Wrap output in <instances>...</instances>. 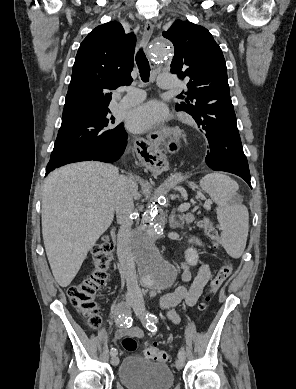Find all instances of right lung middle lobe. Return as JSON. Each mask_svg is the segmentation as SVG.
<instances>
[{
  "label": "right lung middle lobe",
  "instance_id": "obj_1",
  "mask_svg": "<svg viewBox=\"0 0 296 389\" xmlns=\"http://www.w3.org/2000/svg\"><path fill=\"white\" fill-rule=\"evenodd\" d=\"M109 111L78 113L62 117L54 149L47 167L76 158L84 150L110 148L123 139L124 127L114 124Z\"/></svg>",
  "mask_w": 296,
  "mask_h": 389
}]
</instances>
